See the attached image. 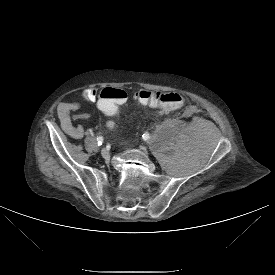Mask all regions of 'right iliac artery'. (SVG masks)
<instances>
[{
	"instance_id": "right-iliac-artery-1",
	"label": "right iliac artery",
	"mask_w": 275,
	"mask_h": 275,
	"mask_svg": "<svg viewBox=\"0 0 275 275\" xmlns=\"http://www.w3.org/2000/svg\"><path fill=\"white\" fill-rule=\"evenodd\" d=\"M103 140H104V139H103L102 136L97 137V143H98L99 146L102 145Z\"/></svg>"
}]
</instances>
